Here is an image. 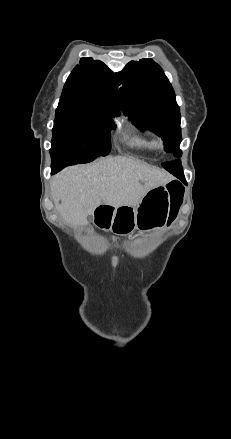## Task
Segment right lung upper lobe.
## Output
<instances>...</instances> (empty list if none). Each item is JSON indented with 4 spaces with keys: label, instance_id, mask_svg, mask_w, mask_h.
<instances>
[{
    "label": "right lung upper lobe",
    "instance_id": "right-lung-upper-lobe-1",
    "mask_svg": "<svg viewBox=\"0 0 231 439\" xmlns=\"http://www.w3.org/2000/svg\"><path fill=\"white\" fill-rule=\"evenodd\" d=\"M117 73L103 62L84 57L69 75L58 109L95 108L119 110L122 107Z\"/></svg>",
    "mask_w": 231,
    "mask_h": 439
}]
</instances>
